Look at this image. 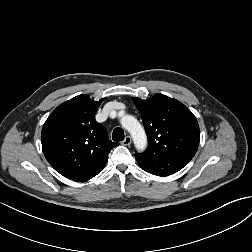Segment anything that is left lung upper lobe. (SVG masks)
Returning <instances> with one entry per match:
<instances>
[{
    "mask_svg": "<svg viewBox=\"0 0 252 252\" xmlns=\"http://www.w3.org/2000/svg\"><path fill=\"white\" fill-rule=\"evenodd\" d=\"M142 115L148 148L136 156H175L192 159L200 139L196 117L181 102L162 94L142 100L133 98Z\"/></svg>",
    "mask_w": 252,
    "mask_h": 252,
    "instance_id": "left-lung-upper-lobe-1",
    "label": "left lung upper lobe"
}]
</instances>
